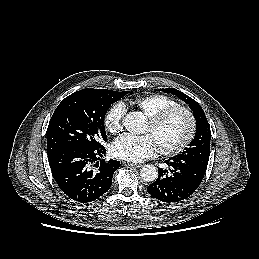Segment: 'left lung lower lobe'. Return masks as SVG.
<instances>
[{
	"label": "left lung lower lobe",
	"instance_id": "left-lung-lower-lobe-1",
	"mask_svg": "<svg viewBox=\"0 0 259 259\" xmlns=\"http://www.w3.org/2000/svg\"><path fill=\"white\" fill-rule=\"evenodd\" d=\"M171 167L168 171L158 168L157 180L147 187V191L154 198L174 203L189 197L200 185L207 167L199 165L189 159L172 157L165 161Z\"/></svg>",
	"mask_w": 259,
	"mask_h": 259
}]
</instances>
